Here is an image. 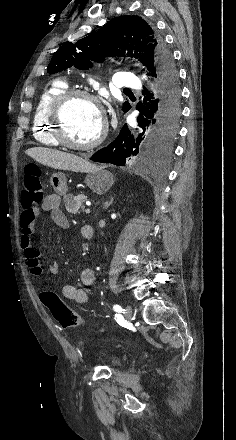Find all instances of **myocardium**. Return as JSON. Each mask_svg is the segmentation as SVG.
Segmentation results:
<instances>
[{
	"mask_svg": "<svg viewBox=\"0 0 236 440\" xmlns=\"http://www.w3.org/2000/svg\"><path fill=\"white\" fill-rule=\"evenodd\" d=\"M76 98L85 99L93 103L95 106L99 107V100L90 92L82 89L67 88L66 90L58 94L49 105L47 115L48 121L51 125L54 138L61 146L72 150H91L99 146L105 139L107 134V125L105 122H103L99 134L88 143L80 144L70 140L66 134L64 111L68 104Z\"/></svg>",
	"mask_w": 236,
	"mask_h": 440,
	"instance_id": "f54148a6",
	"label": "myocardium"
}]
</instances>
